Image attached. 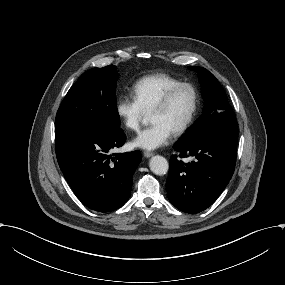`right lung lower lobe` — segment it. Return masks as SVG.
I'll use <instances>...</instances> for the list:
<instances>
[{"mask_svg":"<svg viewBox=\"0 0 285 285\" xmlns=\"http://www.w3.org/2000/svg\"><path fill=\"white\" fill-rule=\"evenodd\" d=\"M125 135L88 128L55 130L57 161L78 199L88 208L109 212L128 200L132 176L141 161L139 151L109 155Z\"/></svg>","mask_w":285,"mask_h":285,"instance_id":"98d812e1","label":"right lung lower lobe"}]
</instances>
